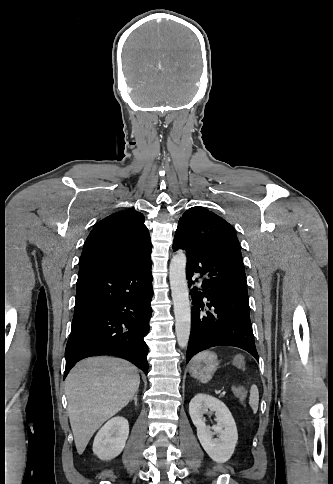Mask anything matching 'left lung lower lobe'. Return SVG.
Listing matches in <instances>:
<instances>
[{
    "label": "left lung lower lobe",
    "instance_id": "left-lung-lower-lobe-1",
    "mask_svg": "<svg viewBox=\"0 0 333 484\" xmlns=\"http://www.w3.org/2000/svg\"><path fill=\"white\" fill-rule=\"evenodd\" d=\"M173 249L187 251L186 275L193 307L186 362L215 346L239 347L259 361L239 241L231 234L195 237L183 225L176 230ZM196 273L205 275L200 288L193 287Z\"/></svg>",
    "mask_w": 333,
    "mask_h": 484
}]
</instances>
